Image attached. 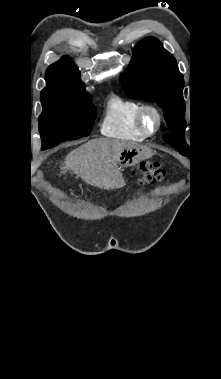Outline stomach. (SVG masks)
<instances>
[{"instance_id": "0dacf381", "label": "stomach", "mask_w": 221, "mask_h": 379, "mask_svg": "<svg viewBox=\"0 0 221 379\" xmlns=\"http://www.w3.org/2000/svg\"><path fill=\"white\" fill-rule=\"evenodd\" d=\"M152 156V151L145 146L133 145L125 148L118 160L121 169L135 166L139 162L146 160Z\"/></svg>"}]
</instances>
